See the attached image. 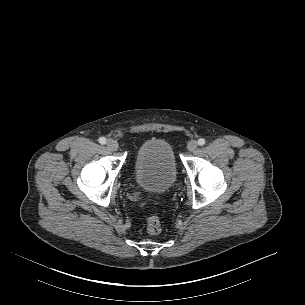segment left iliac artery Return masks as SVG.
I'll list each match as a JSON object with an SVG mask.
<instances>
[{"instance_id": "44dca946", "label": "left iliac artery", "mask_w": 305, "mask_h": 305, "mask_svg": "<svg viewBox=\"0 0 305 305\" xmlns=\"http://www.w3.org/2000/svg\"><path fill=\"white\" fill-rule=\"evenodd\" d=\"M205 139H203V138H200L199 140H198V145H200V146H203L204 144H205Z\"/></svg>"}]
</instances>
